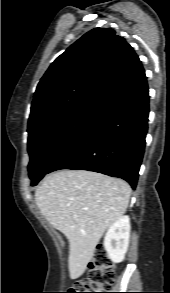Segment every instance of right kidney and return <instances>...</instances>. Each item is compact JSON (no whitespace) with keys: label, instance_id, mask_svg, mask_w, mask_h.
<instances>
[{"label":"right kidney","instance_id":"1","mask_svg":"<svg viewBox=\"0 0 170 293\" xmlns=\"http://www.w3.org/2000/svg\"><path fill=\"white\" fill-rule=\"evenodd\" d=\"M130 218L121 216L107 230L104 247L109 259L114 263L124 260L130 238Z\"/></svg>","mask_w":170,"mask_h":293}]
</instances>
